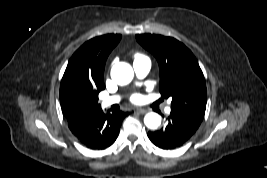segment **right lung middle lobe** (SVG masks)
I'll return each instance as SVG.
<instances>
[{
  "label": "right lung middle lobe",
  "instance_id": "right-lung-middle-lobe-1",
  "mask_svg": "<svg viewBox=\"0 0 267 178\" xmlns=\"http://www.w3.org/2000/svg\"><path fill=\"white\" fill-rule=\"evenodd\" d=\"M74 101L78 104L86 103L89 101L97 100L98 95L90 90L78 89L73 94Z\"/></svg>",
  "mask_w": 267,
  "mask_h": 178
}]
</instances>
